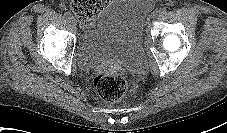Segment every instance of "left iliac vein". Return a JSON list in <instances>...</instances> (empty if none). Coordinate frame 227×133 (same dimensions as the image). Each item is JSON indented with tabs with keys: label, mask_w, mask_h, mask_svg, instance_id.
Instances as JSON below:
<instances>
[{
	"label": "left iliac vein",
	"mask_w": 227,
	"mask_h": 133,
	"mask_svg": "<svg viewBox=\"0 0 227 133\" xmlns=\"http://www.w3.org/2000/svg\"><path fill=\"white\" fill-rule=\"evenodd\" d=\"M158 17V11H153L151 14V19L154 20Z\"/></svg>",
	"instance_id": "1"
}]
</instances>
